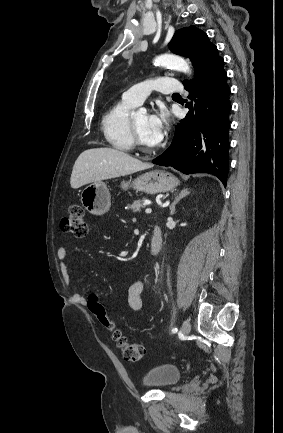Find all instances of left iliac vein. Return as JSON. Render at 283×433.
<instances>
[{
  "instance_id": "obj_1",
  "label": "left iliac vein",
  "mask_w": 283,
  "mask_h": 433,
  "mask_svg": "<svg viewBox=\"0 0 283 433\" xmlns=\"http://www.w3.org/2000/svg\"><path fill=\"white\" fill-rule=\"evenodd\" d=\"M191 329V324L188 320H184L182 324L181 333L185 336L188 335Z\"/></svg>"
}]
</instances>
